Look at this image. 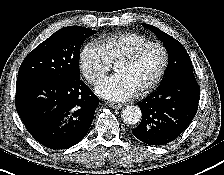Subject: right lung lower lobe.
<instances>
[{
	"instance_id": "right-lung-lower-lobe-1",
	"label": "right lung lower lobe",
	"mask_w": 224,
	"mask_h": 175,
	"mask_svg": "<svg viewBox=\"0 0 224 175\" xmlns=\"http://www.w3.org/2000/svg\"><path fill=\"white\" fill-rule=\"evenodd\" d=\"M15 103L33 138L57 150L70 148L86 136L99 99L80 79L23 75L17 77Z\"/></svg>"
}]
</instances>
